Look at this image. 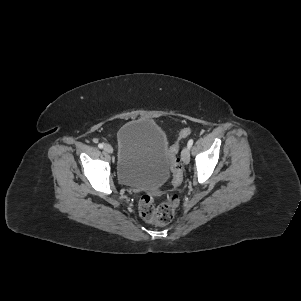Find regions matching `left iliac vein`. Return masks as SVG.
I'll return each instance as SVG.
<instances>
[{"instance_id":"obj_1","label":"left iliac vein","mask_w":301,"mask_h":301,"mask_svg":"<svg viewBox=\"0 0 301 301\" xmlns=\"http://www.w3.org/2000/svg\"><path fill=\"white\" fill-rule=\"evenodd\" d=\"M181 157L182 160L185 164H188L190 161V149L188 148V146L184 147L182 152H181Z\"/></svg>"}]
</instances>
